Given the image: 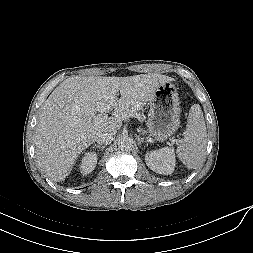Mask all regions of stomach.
Segmentation results:
<instances>
[{
  "label": "stomach",
  "mask_w": 253,
  "mask_h": 253,
  "mask_svg": "<svg viewBox=\"0 0 253 253\" xmlns=\"http://www.w3.org/2000/svg\"><path fill=\"white\" fill-rule=\"evenodd\" d=\"M150 110L146 121L149 134L163 142L180 127V102L177 89L171 82L161 85L149 101Z\"/></svg>",
  "instance_id": "0dacf381"
}]
</instances>
